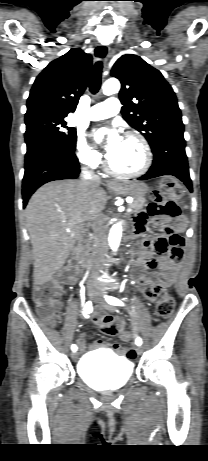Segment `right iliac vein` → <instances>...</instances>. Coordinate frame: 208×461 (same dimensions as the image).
Listing matches in <instances>:
<instances>
[{
  "label": "right iliac vein",
  "instance_id": "63e3f726",
  "mask_svg": "<svg viewBox=\"0 0 208 461\" xmlns=\"http://www.w3.org/2000/svg\"><path fill=\"white\" fill-rule=\"evenodd\" d=\"M88 296H89V299H90V300L94 301L95 298H96V293H95V291H94L93 289H89V290H88ZM77 357H78V355H77L76 352H73V353L71 354V358H72L73 360H76Z\"/></svg>",
  "mask_w": 208,
  "mask_h": 461
}]
</instances>
